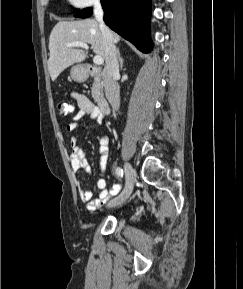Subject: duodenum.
Instances as JSON below:
<instances>
[{"label":"duodenum","mask_w":243,"mask_h":289,"mask_svg":"<svg viewBox=\"0 0 243 289\" xmlns=\"http://www.w3.org/2000/svg\"><path fill=\"white\" fill-rule=\"evenodd\" d=\"M85 73L88 76H100L102 74V70L97 68V67L88 65L85 67ZM97 106H98L99 112L102 115H108L109 114V112H110L109 103L103 95L98 96Z\"/></svg>","instance_id":"obj_1"}]
</instances>
